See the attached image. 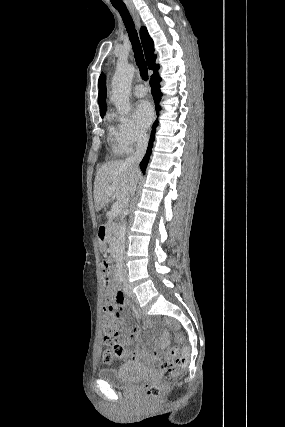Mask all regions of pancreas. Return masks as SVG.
<instances>
[{"label": "pancreas", "instance_id": "pancreas-1", "mask_svg": "<svg viewBox=\"0 0 285 427\" xmlns=\"http://www.w3.org/2000/svg\"><path fill=\"white\" fill-rule=\"evenodd\" d=\"M113 220H114V216L112 215L111 218H110L109 225H108V242L110 244L114 243L115 236L117 234V229H118L117 224L114 223Z\"/></svg>", "mask_w": 285, "mask_h": 427}]
</instances>
